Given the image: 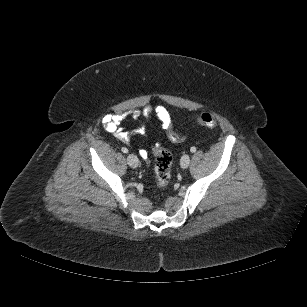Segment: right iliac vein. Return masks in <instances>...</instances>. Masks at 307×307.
I'll return each instance as SVG.
<instances>
[{
    "mask_svg": "<svg viewBox=\"0 0 307 307\" xmlns=\"http://www.w3.org/2000/svg\"><path fill=\"white\" fill-rule=\"evenodd\" d=\"M127 162H128V165L132 168H136L139 165V160H138L137 156L134 155V154H129L127 156Z\"/></svg>",
    "mask_w": 307,
    "mask_h": 307,
    "instance_id": "right-iliac-vein-1",
    "label": "right iliac vein"
}]
</instances>
